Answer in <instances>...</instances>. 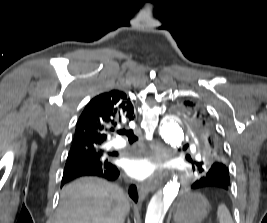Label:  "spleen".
<instances>
[{"instance_id": "obj_1", "label": "spleen", "mask_w": 267, "mask_h": 223, "mask_svg": "<svg viewBox=\"0 0 267 223\" xmlns=\"http://www.w3.org/2000/svg\"><path fill=\"white\" fill-rule=\"evenodd\" d=\"M217 218L219 223H233L228 208L224 204H220L217 209Z\"/></svg>"}]
</instances>
